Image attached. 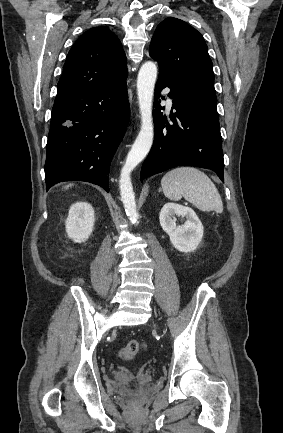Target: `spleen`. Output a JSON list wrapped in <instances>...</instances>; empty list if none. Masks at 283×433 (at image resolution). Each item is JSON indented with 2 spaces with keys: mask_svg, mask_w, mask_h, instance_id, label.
I'll return each mask as SVG.
<instances>
[{
  "mask_svg": "<svg viewBox=\"0 0 283 433\" xmlns=\"http://www.w3.org/2000/svg\"><path fill=\"white\" fill-rule=\"evenodd\" d=\"M163 192L170 200L192 202L200 210L223 212L221 196L211 178L193 166H180L164 174L161 180Z\"/></svg>",
  "mask_w": 283,
  "mask_h": 433,
  "instance_id": "obj_1",
  "label": "spleen"
}]
</instances>
